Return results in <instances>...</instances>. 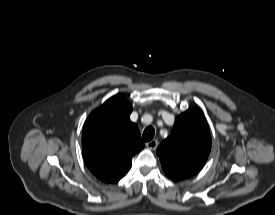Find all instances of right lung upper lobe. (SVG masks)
I'll list each match as a JSON object with an SVG mask.
<instances>
[{"label":"right lung upper lobe","instance_id":"1","mask_svg":"<svg viewBox=\"0 0 275 215\" xmlns=\"http://www.w3.org/2000/svg\"><path fill=\"white\" fill-rule=\"evenodd\" d=\"M132 106L123 94L109 98L87 118L82 133L86 165L100 180L114 183L124 177L132 157L144 143L138 127L129 119Z\"/></svg>","mask_w":275,"mask_h":215}]
</instances>
